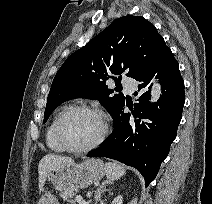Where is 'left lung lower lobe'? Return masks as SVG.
Masks as SVG:
<instances>
[{"label":"left lung lower lobe","instance_id":"left-lung-lower-lobe-1","mask_svg":"<svg viewBox=\"0 0 212 204\" xmlns=\"http://www.w3.org/2000/svg\"><path fill=\"white\" fill-rule=\"evenodd\" d=\"M160 79L162 95L151 104V79ZM140 84L134 109L126 100L113 114L114 129L103 144L87 154L107 157L136 168L145 178L146 187L156 177L167 157L181 121L185 102L184 81L170 48L162 52L136 78ZM128 106L130 113H124Z\"/></svg>","mask_w":212,"mask_h":204}]
</instances>
